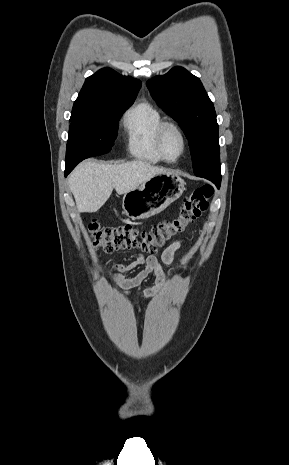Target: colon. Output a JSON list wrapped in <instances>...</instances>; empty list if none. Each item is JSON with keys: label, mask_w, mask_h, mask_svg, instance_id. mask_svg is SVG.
I'll list each match as a JSON object with an SVG mask.
<instances>
[{"label": "colon", "mask_w": 289, "mask_h": 465, "mask_svg": "<svg viewBox=\"0 0 289 465\" xmlns=\"http://www.w3.org/2000/svg\"><path fill=\"white\" fill-rule=\"evenodd\" d=\"M213 192L209 185L191 190L173 217L160 221L150 229H139L132 225L102 228L96 220H92L87 227V238L93 246L106 252L140 249L154 253L172 238L184 233L207 210Z\"/></svg>", "instance_id": "1"}]
</instances>
